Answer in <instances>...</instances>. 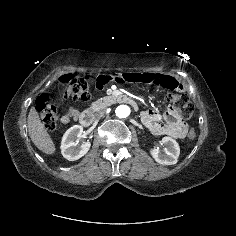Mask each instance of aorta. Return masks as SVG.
I'll use <instances>...</instances> for the list:
<instances>
[{
	"label": "aorta",
	"instance_id": "1",
	"mask_svg": "<svg viewBox=\"0 0 236 236\" xmlns=\"http://www.w3.org/2000/svg\"><path fill=\"white\" fill-rule=\"evenodd\" d=\"M131 113L130 107L127 105H119L115 109V115L118 118L124 119L127 118Z\"/></svg>",
	"mask_w": 236,
	"mask_h": 236
}]
</instances>
